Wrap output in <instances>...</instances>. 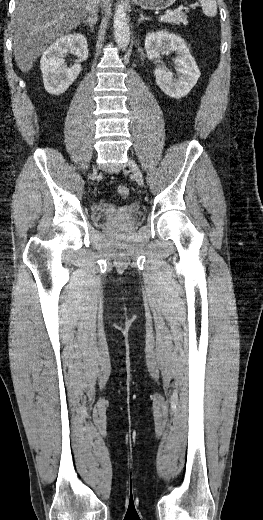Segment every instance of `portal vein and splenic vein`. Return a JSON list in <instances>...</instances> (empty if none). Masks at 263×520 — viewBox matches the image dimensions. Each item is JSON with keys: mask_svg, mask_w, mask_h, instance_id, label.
Wrapping results in <instances>:
<instances>
[{"mask_svg": "<svg viewBox=\"0 0 263 520\" xmlns=\"http://www.w3.org/2000/svg\"><path fill=\"white\" fill-rule=\"evenodd\" d=\"M170 13H164L163 15L160 16V20L163 21L165 18H167L169 16Z\"/></svg>", "mask_w": 263, "mask_h": 520, "instance_id": "1", "label": "portal vein and splenic vein"}]
</instances>
